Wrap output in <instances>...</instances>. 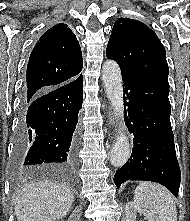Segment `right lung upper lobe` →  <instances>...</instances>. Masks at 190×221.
<instances>
[{
  "label": "right lung upper lobe",
  "mask_w": 190,
  "mask_h": 221,
  "mask_svg": "<svg viewBox=\"0 0 190 221\" xmlns=\"http://www.w3.org/2000/svg\"><path fill=\"white\" fill-rule=\"evenodd\" d=\"M82 52L66 24L47 30L33 48L26 72L24 98L68 83L80 75Z\"/></svg>",
  "instance_id": "1"
}]
</instances>
